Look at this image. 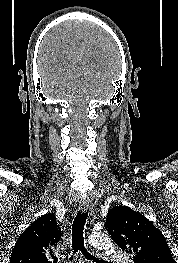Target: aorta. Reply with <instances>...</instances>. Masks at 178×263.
<instances>
[{
  "instance_id": "1",
  "label": "aorta",
  "mask_w": 178,
  "mask_h": 263,
  "mask_svg": "<svg viewBox=\"0 0 178 263\" xmlns=\"http://www.w3.org/2000/svg\"><path fill=\"white\" fill-rule=\"evenodd\" d=\"M89 242L92 246L105 250L106 252L112 251L113 245L108 235L104 233H93L89 237Z\"/></svg>"
}]
</instances>
